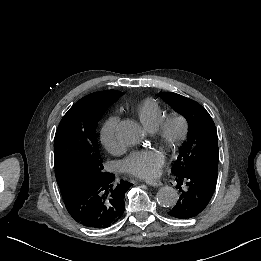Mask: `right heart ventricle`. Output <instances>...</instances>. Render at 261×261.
<instances>
[{
	"instance_id": "1",
	"label": "right heart ventricle",
	"mask_w": 261,
	"mask_h": 261,
	"mask_svg": "<svg viewBox=\"0 0 261 261\" xmlns=\"http://www.w3.org/2000/svg\"><path fill=\"white\" fill-rule=\"evenodd\" d=\"M134 113L146 128L155 127L166 116L165 108L154 98L140 101Z\"/></svg>"
}]
</instances>
